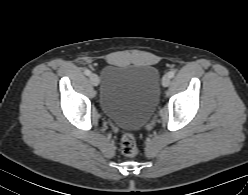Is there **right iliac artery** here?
Wrapping results in <instances>:
<instances>
[{"mask_svg": "<svg viewBox=\"0 0 248 195\" xmlns=\"http://www.w3.org/2000/svg\"><path fill=\"white\" fill-rule=\"evenodd\" d=\"M84 73H85V75H87V76H90V75H91V71H90V70H88V69H87V70H85V71H84Z\"/></svg>", "mask_w": 248, "mask_h": 195, "instance_id": "1", "label": "right iliac artery"}]
</instances>
